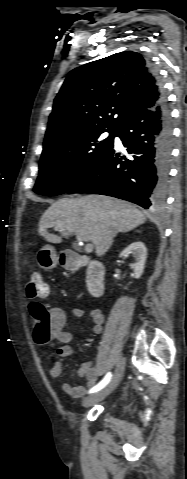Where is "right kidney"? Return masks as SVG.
Listing matches in <instances>:
<instances>
[{
  "label": "right kidney",
  "mask_w": 187,
  "mask_h": 479,
  "mask_svg": "<svg viewBox=\"0 0 187 479\" xmlns=\"http://www.w3.org/2000/svg\"><path fill=\"white\" fill-rule=\"evenodd\" d=\"M130 254L135 259V262L131 264V268L134 270V277L138 279L144 272V266L147 258V248L143 242H133L120 253V258L128 257Z\"/></svg>",
  "instance_id": "ca27d5eb"
}]
</instances>
